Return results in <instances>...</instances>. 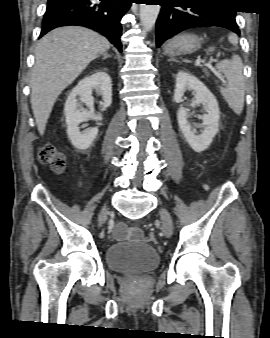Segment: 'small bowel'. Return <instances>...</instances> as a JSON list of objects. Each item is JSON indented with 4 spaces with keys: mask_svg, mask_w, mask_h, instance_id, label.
<instances>
[{
    "mask_svg": "<svg viewBox=\"0 0 270 338\" xmlns=\"http://www.w3.org/2000/svg\"><path fill=\"white\" fill-rule=\"evenodd\" d=\"M116 236L129 237L132 240H138L140 238V232L137 228L117 227L114 231Z\"/></svg>",
    "mask_w": 270,
    "mask_h": 338,
    "instance_id": "obj_1",
    "label": "small bowel"
}]
</instances>
